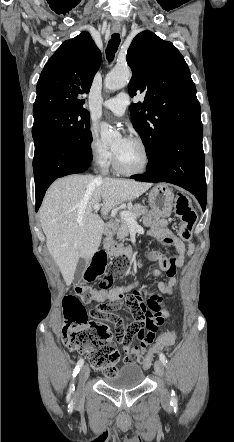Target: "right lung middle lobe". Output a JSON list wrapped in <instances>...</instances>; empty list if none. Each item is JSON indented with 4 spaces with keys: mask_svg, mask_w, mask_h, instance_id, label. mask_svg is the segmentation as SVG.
Wrapping results in <instances>:
<instances>
[{
    "mask_svg": "<svg viewBox=\"0 0 234 442\" xmlns=\"http://www.w3.org/2000/svg\"><path fill=\"white\" fill-rule=\"evenodd\" d=\"M33 139L55 136L69 140L90 151L92 136L86 109H61L34 116Z\"/></svg>",
    "mask_w": 234,
    "mask_h": 442,
    "instance_id": "1",
    "label": "right lung middle lobe"
}]
</instances>
